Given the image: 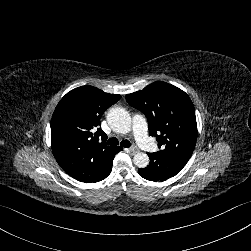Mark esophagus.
Listing matches in <instances>:
<instances>
[{"label":"esophagus","instance_id":"1","mask_svg":"<svg viewBox=\"0 0 251 251\" xmlns=\"http://www.w3.org/2000/svg\"><path fill=\"white\" fill-rule=\"evenodd\" d=\"M128 151L132 154H135L139 152V148L137 146L129 147Z\"/></svg>","mask_w":251,"mask_h":251}]
</instances>
